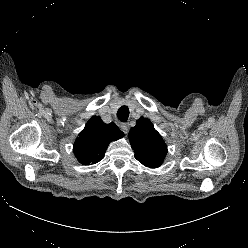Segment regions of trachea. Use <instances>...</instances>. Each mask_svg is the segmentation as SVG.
I'll use <instances>...</instances> for the list:
<instances>
[{
  "mask_svg": "<svg viewBox=\"0 0 248 248\" xmlns=\"http://www.w3.org/2000/svg\"><path fill=\"white\" fill-rule=\"evenodd\" d=\"M129 116V108L127 106H121L117 111V117L120 121L126 122Z\"/></svg>",
  "mask_w": 248,
  "mask_h": 248,
  "instance_id": "trachea-1",
  "label": "trachea"
}]
</instances>
